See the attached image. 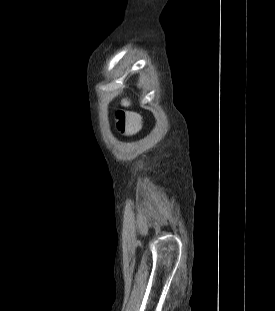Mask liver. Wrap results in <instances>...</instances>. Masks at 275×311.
Masks as SVG:
<instances>
[{
  "mask_svg": "<svg viewBox=\"0 0 275 311\" xmlns=\"http://www.w3.org/2000/svg\"><path fill=\"white\" fill-rule=\"evenodd\" d=\"M121 104H122L123 106H129V105H130V100H128V99H123V100L121 101Z\"/></svg>",
  "mask_w": 275,
  "mask_h": 311,
  "instance_id": "1",
  "label": "liver"
}]
</instances>
